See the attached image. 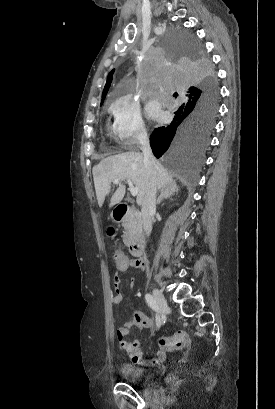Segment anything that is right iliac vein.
Wrapping results in <instances>:
<instances>
[{
  "instance_id": "1",
  "label": "right iliac vein",
  "mask_w": 275,
  "mask_h": 409,
  "mask_svg": "<svg viewBox=\"0 0 275 409\" xmlns=\"http://www.w3.org/2000/svg\"><path fill=\"white\" fill-rule=\"evenodd\" d=\"M153 294H154L156 304L159 310L161 312L166 311L168 309V305H167V301H166L164 294L158 289H154Z\"/></svg>"
}]
</instances>
